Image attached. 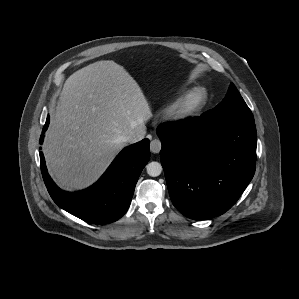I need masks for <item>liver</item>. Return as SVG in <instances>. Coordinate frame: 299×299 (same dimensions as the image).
Instances as JSON below:
<instances>
[{
    "label": "liver",
    "mask_w": 299,
    "mask_h": 299,
    "mask_svg": "<svg viewBox=\"0 0 299 299\" xmlns=\"http://www.w3.org/2000/svg\"><path fill=\"white\" fill-rule=\"evenodd\" d=\"M152 117L141 88L112 60L92 63L68 77L43 145L59 187H88L106 170L130 135Z\"/></svg>",
    "instance_id": "obj_1"
}]
</instances>
